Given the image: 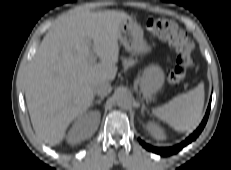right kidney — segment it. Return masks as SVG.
<instances>
[{
    "mask_svg": "<svg viewBox=\"0 0 231 170\" xmlns=\"http://www.w3.org/2000/svg\"><path fill=\"white\" fill-rule=\"evenodd\" d=\"M100 122V113L91 111L79 116L67 135L70 144H77L89 138L97 130Z\"/></svg>",
    "mask_w": 231,
    "mask_h": 170,
    "instance_id": "1",
    "label": "right kidney"
}]
</instances>
